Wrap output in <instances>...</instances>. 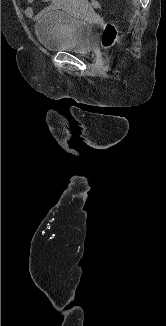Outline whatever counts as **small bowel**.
Here are the masks:
<instances>
[{
  "label": "small bowel",
  "instance_id": "obj_1",
  "mask_svg": "<svg viewBox=\"0 0 166 326\" xmlns=\"http://www.w3.org/2000/svg\"><path fill=\"white\" fill-rule=\"evenodd\" d=\"M30 5L35 1V0H26ZM42 2L48 3V6L46 9L36 12L31 6H28L24 13L25 16L33 21L38 20L45 12L51 11V10H56V9H64L65 7L75 4L76 0H42Z\"/></svg>",
  "mask_w": 166,
  "mask_h": 326
}]
</instances>
